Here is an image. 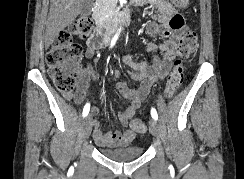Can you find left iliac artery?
Returning <instances> with one entry per match:
<instances>
[{"mask_svg": "<svg viewBox=\"0 0 244 179\" xmlns=\"http://www.w3.org/2000/svg\"><path fill=\"white\" fill-rule=\"evenodd\" d=\"M151 116L153 119L157 120L158 119V114L157 111L155 110V108L151 109Z\"/></svg>", "mask_w": 244, "mask_h": 179, "instance_id": "obj_1", "label": "left iliac artery"}]
</instances>
